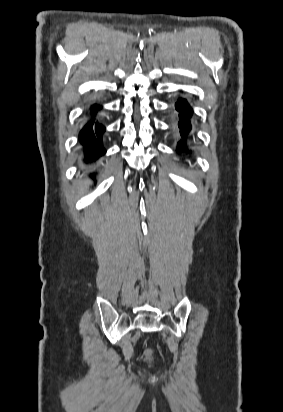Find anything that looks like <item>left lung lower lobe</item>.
Wrapping results in <instances>:
<instances>
[{"label":"left lung lower lobe","mask_w":283,"mask_h":412,"mask_svg":"<svg viewBox=\"0 0 283 412\" xmlns=\"http://www.w3.org/2000/svg\"><path fill=\"white\" fill-rule=\"evenodd\" d=\"M176 109L181 112V122L179 123V127L181 128V135L185 136L191 129L190 122L188 121V118L192 114V110L190 106L188 105L187 101L184 99H180L176 105ZM181 147L183 145V141L180 142L179 144Z\"/></svg>","instance_id":"obj_1"}]
</instances>
